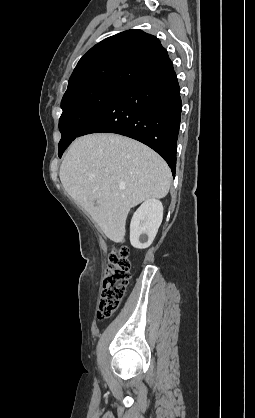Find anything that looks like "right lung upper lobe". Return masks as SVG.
<instances>
[{
  "label": "right lung upper lobe",
  "mask_w": 255,
  "mask_h": 418,
  "mask_svg": "<svg viewBox=\"0 0 255 418\" xmlns=\"http://www.w3.org/2000/svg\"><path fill=\"white\" fill-rule=\"evenodd\" d=\"M171 66L157 37L138 29L127 30L99 42L79 60L65 93L96 81L129 85Z\"/></svg>",
  "instance_id": "1"
}]
</instances>
